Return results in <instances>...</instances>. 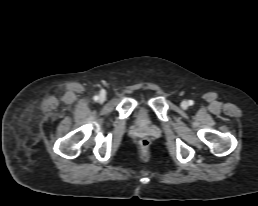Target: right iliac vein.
I'll list each match as a JSON object with an SVG mask.
<instances>
[{
    "mask_svg": "<svg viewBox=\"0 0 258 206\" xmlns=\"http://www.w3.org/2000/svg\"><path fill=\"white\" fill-rule=\"evenodd\" d=\"M105 99H106V97H105L104 94H101V95L98 97V101H99L100 103H103V102L105 101Z\"/></svg>",
    "mask_w": 258,
    "mask_h": 206,
    "instance_id": "obj_1",
    "label": "right iliac vein"
}]
</instances>
